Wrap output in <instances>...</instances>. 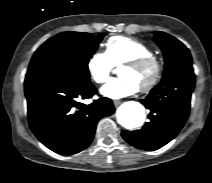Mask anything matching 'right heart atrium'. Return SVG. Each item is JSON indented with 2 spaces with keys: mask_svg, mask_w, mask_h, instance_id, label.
<instances>
[{
  "mask_svg": "<svg viewBox=\"0 0 212 183\" xmlns=\"http://www.w3.org/2000/svg\"><path fill=\"white\" fill-rule=\"evenodd\" d=\"M113 69L114 65L105 52L94 53L87 62L88 74L97 84L107 82Z\"/></svg>",
  "mask_w": 212,
  "mask_h": 183,
  "instance_id": "d8ad5b80",
  "label": "right heart atrium"
}]
</instances>
